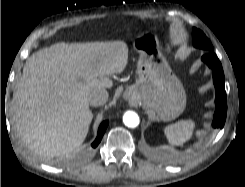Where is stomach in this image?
Returning <instances> with one entry per match:
<instances>
[{"label":"stomach","instance_id":"1","mask_svg":"<svg viewBox=\"0 0 245 187\" xmlns=\"http://www.w3.org/2000/svg\"><path fill=\"white\" fill-rule=\"evenodd\" d=\"M133 48L139 53L137 80L128 88L132 97L160 119L170 121L185 109L186 94L161 52L159 35L146 31L136 37Z\"/></svg>","mask_w":245,"mask_h":187}]
</instances>
